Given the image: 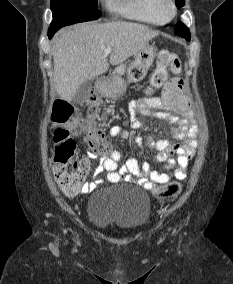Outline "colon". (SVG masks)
Returning a JSON list of instances; mask_svg holds the SVG:
<instances>
[{"instance_id": "1", "label": "colon", "mask_w": 233, "mask_h": 284, "mask_svg": "<svg viewBox=\"0 0 233 284\" xmlns=\"http://www.w3.org/2000/svg\"><path fill=\"white\" fill-rule=\"evenodd\" d=\"M168 70L174 74L181 71L179 57L171 51L161 50L158 53V66L151 77L148 93H152L166 82ZM102 101L93 98L89 102V112L93 116ZM75 107L64 100H56L53 104L52 119L59 125L66 124L74 115ZM54 160L52 171L59 188L66 194H74L82 187L89 170V164L83 159L75 158L76 144L70 132L65 128H57L52 135ZM85 141L96 153H107L110 149L105 140L104 129L91 118L85 135ZM182 186L177 182L156 186L152 189L155 197L171 199L181 193Z\"/></svg>"}]
</instances>
